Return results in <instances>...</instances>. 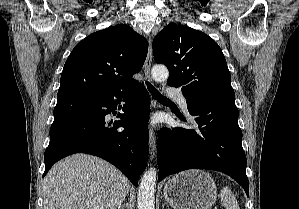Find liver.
Instances as JSON below:
<instances>
[{
    "instance_id": "liver-1",
    "label": "liver",
    "mask_w": 299,
    "mask_h": 209,
    "mask_svg": "<svg viewBox=\"0 0 299 209\" xmlns=\"http://www.w3.org/2000/svg\"><path fill=\"white\" fill-rule=\"evenodd\" d=\"M131 189L108 162L74 154L56 163L43 182L44 209H120Z\"/></svg>"
}]
</instances>
